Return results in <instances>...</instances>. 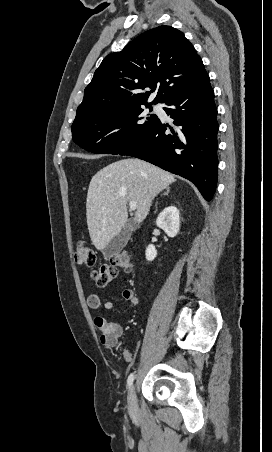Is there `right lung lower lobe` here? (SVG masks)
<instances>
[{"label":"right lung lower lobe","mask_w":272,"mask_h":452,"mask_svg":"<svg viewBox=\"0 0 272 452\" xmlns=\"http://www.w3.org/2000/svg\"><path fill=\"white\" fill-rule=\"evenodd\" d=\"M173 129L158 119L119 155L133 156L190 180L210 201L217 184V108L209 76L165 102Z\"/></svg>","instance_id":"right-lung-lower-lobe-1"}]
</instances>
